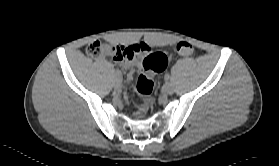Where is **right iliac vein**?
Returning a JSON list of instances; mask_svg holds the SVG:
<instances>
[{"label":"right iliac vein","mask_w":279,"mask_h":166,"mask_svg":"<svg viewBox=\"0 0 279 166\" xmlns=\"http://www.w3.org/2000/svg\"><path fill=\"white\" fill-rule=\"evenodd\" d=\"M122 86V81L120 78H116L115 83H114V88L115 90H120Z\"/></svg>","instance_id":"1"}]
</instances>
